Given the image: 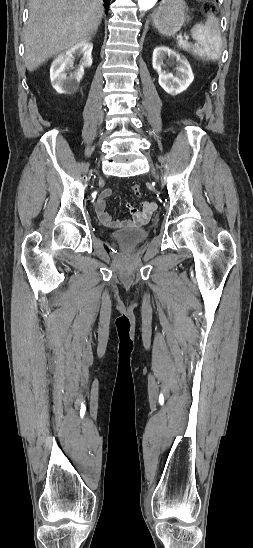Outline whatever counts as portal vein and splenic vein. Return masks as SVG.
<instances>
[{"label":"portal vein and splenic vein","instance_id":"18ae733b","mask_svg":"<svg viewBox=\"0 0 253 548\" xmlns=\"http://www.w3.org/2000/svg\"><path fill=\"white\" fill-rule=\"evenodd\" d=\"M188 38H189V37H188V36L186 35V36H185V40H188ZM197 47H200V46H199V45H197Z\"/></svg>","mask_w":253,"mask_h":548}]
</instances>
